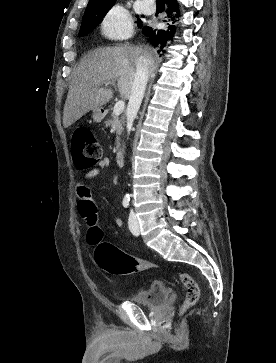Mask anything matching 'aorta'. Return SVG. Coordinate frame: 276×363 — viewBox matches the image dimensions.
<instances>
[{
  "mask_svg": "<svg viewBox=\"0 0 276 363\" xmlns=\"http://www.w3.org/2000/svg\"><path fill=\"white\" fill-rule=\"evenodd\" d=\"M125 198L128 199L129 198V195H126Z\"/></svg>",
  "mask_w": 276,
  "mask_h": 363,
  "instance_id": "aorta-1",
  "label": "aorta"
}]
</instances>
